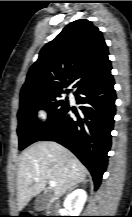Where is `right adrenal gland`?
<instances>
[{
	"mask_svg": "<svg viewBox=\"0 0 132 217\" xmlns=\"http://www.w3.org/2000/svg\"><path fill=\"white\" fill-rule=\"evenodd\" d=\"M77 186H78V184L74 185L70 190L74 189V188L77 187Z\"/></svg>",
	"mask_w": 132,
	"mask_h": 217,
	"instance_id": "1",
	"label": "right adrenal gland"
}]
</instances>
